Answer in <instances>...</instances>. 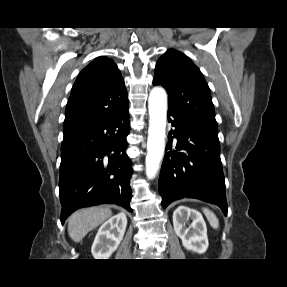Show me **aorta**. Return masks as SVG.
<instances>
[{"instance_id":"762f6f07","label":"aorta","mask_w":287,"mask_h":287,"mask_svg":"<svg viewBox=\"0 0 287 287\" xmlns=\"http://www.w3.org/2000/svg\"><path fill=\"white\" fill-rule=\"evenodd\" d=\"M149 129L147 155L145 160L146 176L155 178L165 150V129L167 118V94L161 87H154L148 99Z\"/></svg>"}]
</instances>
